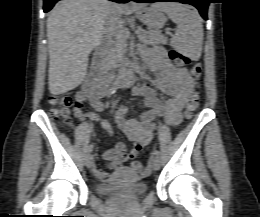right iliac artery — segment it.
<instances>
[{"label":"right iliac artery","instance_id":"1","mask_svg":"<svg viewBox=\"0 0 260 217\" xmlns=\"http://www.w3.org/2000/svg\"><path fill=\"white\" fill-rule=\"evenodd\" d=\"M120 83H116L113 87V90L111 91V94H113L115 92V90L119 87ZM93 150V145H89L87 148V155H89Z\"/></svg>","mask_w":260,"mask_h":217}]
</instances>
